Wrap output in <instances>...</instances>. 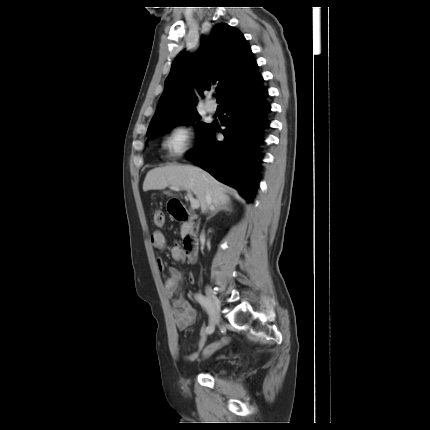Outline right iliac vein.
I'll return each instance as SVG.
<instances>
[{
	"label": "right iliac vein",
	"instance_id": "obj_1",
	"mask_svg": "<svg viewBox=\"0 0 430 430\" xmlns=\"http://www.w3.org/2000/svg\"><path fill=\"white\" fill-rule=\"evenodd\" d=\"M206 295L209 301L210 322L213 325H218L220 323V314L215 304L216 297L210 287H206Z\"/></svg>",
	"mask_w": 430,
	"mask_h": 430
}]
</instances>
